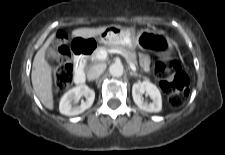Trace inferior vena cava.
Returning <instances> with one entry per match:
<instances>
[{"label":"inferior vena cava","instance_id":"inferior-vena-cava-1","mask_svg":"<svg viewBox=\"0 0 225 155\" xmlns=\"http://www.w3.org/2000/svg\"><path fill=\"white\" fill-rule=\"evenodd\" d=\"M106 69L104 64H97L92 66L87 72L88 80H95L97 79Z\"/></svg>","mask_w":225,"mask_h":155}]
</instances>
